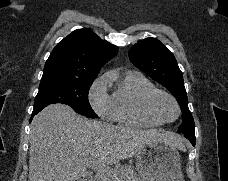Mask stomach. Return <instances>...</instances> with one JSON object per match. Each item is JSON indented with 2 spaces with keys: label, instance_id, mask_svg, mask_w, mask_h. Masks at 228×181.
<instances>
[{
  "label": "stomach",
  "instance_id": "0dacf381",
  "mask_svg": "<svg viewBox=\"0 0 228 181\" xmlns=\"http://www.w3.org/2000/svg\"><path fill=\"white\" fill-rule=\"evenodd\" d=\"M136 171L141 181H184L177 147L150 141L136 153Z\"/></svg>",
  "mask_w": 228,
  "mask_h": 181
}]
</instances>
